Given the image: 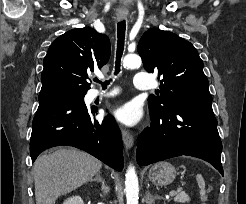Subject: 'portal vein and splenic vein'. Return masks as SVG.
I'll use <instances>...</instances> for the list:
<instances>
[{"label":"portal vein and splenic vein","instance_id":"portal-vein-and-splenic-vein-1","mask_svg":"<svg viewBox=\"0 0 246 204\" xmlns=\"http://www.w3.org/2000/svg\"><path fill=\"white\" fill-rule=\"evenodd\" d=\"M176 194H177L176 191H171V192H170V196H175Z\"/></svg>","mask_w":246,"mask_h":204}]
</instances>
